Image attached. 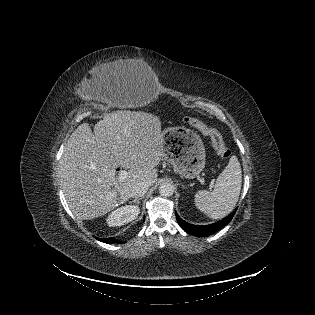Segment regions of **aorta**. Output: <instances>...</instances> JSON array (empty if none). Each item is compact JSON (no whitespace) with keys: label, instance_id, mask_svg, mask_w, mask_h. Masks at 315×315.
Here are the masks:
<instances>
[{"label":"aorta","instance_id":"1","mask_svg":"<svg viewBox=\"0 0 315 315\" xmlns=\"http://www.w3.org/2000/svg\"><path fill=\"white\" fill-rule=\"evenodd\" d=\"M174 187L170 183H162L159 186V193L163 197H170L173 195Z\"/></svg>","mask_w":315,"mask_h":315}]
</instances>
